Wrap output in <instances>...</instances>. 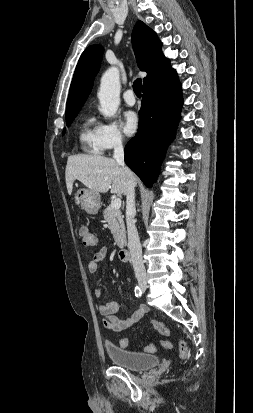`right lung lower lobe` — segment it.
<instances>
[{
  "label": "right lung lower lobe",
  "mask_w": 253,
  "mask_h": 413,
  "mask_svg": "<svg viewBox=\"0 0 253 413\" xmlns=\"http://www.w3.org/2000/svg\"><path fill=\"white\" fill-rule=\"evenodd\" d=\"M181 83L175 70L143 88L138 132L125 147V163L147 187L156 179L172 141L182 108Z\"/></svg>",
  "instance_id": "right-lung-lower-lobe-1"
}]
</instances>
